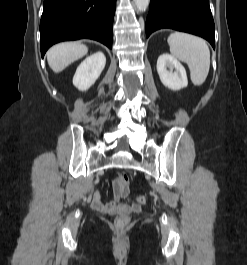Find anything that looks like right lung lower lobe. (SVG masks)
Masks as SVG:
<instances>
[{"label": "right lung lower lobe", "mask_w": 247, "mask_h": 265, "mask_svg": "<svg viewBox=\"0 0 247 265\" xmlns=\"http://www.w3.org/2000/svg\"><path fill=\"white\" fill-rule=\"evenodd\" d=\"M116 0H44L41 55L55 43L89 38L112 48Z\"/></svg>", "instance_id": "obj_1"}]
</instances>
